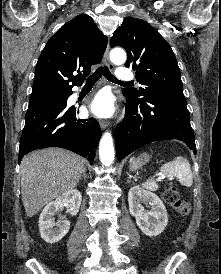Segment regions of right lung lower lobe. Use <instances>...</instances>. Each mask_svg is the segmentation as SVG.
<instances>
[{
  "mask_svg": "<svg viewBox=\"0 0 221 274\" xmlns=\"http://www.w3.org/2000/svg\"><path fill=\"white\" fill-rule=\"evenodd\" d=\"M67 97L52 102L30 105L19 146V162L27 153L46 147L69 149L93 163L101 129L94 118L77 119Z\"/></svg>",
  "mask_w": 221,
  "mask_h": 274,
  "instance_id": "right-lung-lower-lobe-1",
  "label": "right lung lower lobe"
}]
</instances>
